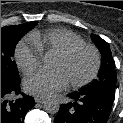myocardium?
Returning <instances> with one entry per match:
<instances>
[{"label": "myocardium", "instance_id": "myocardium-1", "mask_svg": "<svg viewBox=\"0 0 123 123\" xmlns=\"http://www.w3.org/2000/svg\"><path fill=\"white\" fill-rule=\"evenodd\" d=\"M81 51L91 52V54L93 55V58H94V65H93L92 71L90 72V74L87 77H85L84 79L79 80V81L69 82V85L75 89L82 88V87L90 84L97 77V75L100 71V68H101V54H100L99 50L93 45L84 43V44L72 46L68 49H65L63 51L56 53V56H58L62 59H70L75 54H77Z\"/></svg>", "mask_w": 123, "mask_h": 123}]
</instances>
